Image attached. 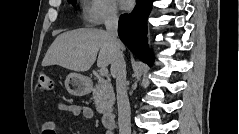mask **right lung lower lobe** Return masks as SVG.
I'll use <instances>...</instances> for the list:
<instances>
[{
  "instance_id": "1",
  "label": "right lung lower lobe",
  "mask_w": 239,
  "mask_h": 134,
  "mask_svg": "<svg viewBox=\"0 0 239 134\" xmlns=\"http://www.w3.org/2000/svg\"><path fill=\"white\" fill-rule=\"evenodd\" d=\"M136 6L130 14L119 19L118 35L122 42L143 62L152 64L151 51L147 49V18L153 0H136Z\"/></svg>"
}]
</instances>
